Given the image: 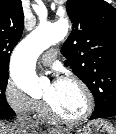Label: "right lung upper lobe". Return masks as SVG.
<instances>
[{
    "label": "right lung upper lobe",
    "instance_id": "1",
    "mask_svg": "<svg viewBox=\"0 0 116 134\" xmlns=\"http://www.w3.org/2000/svg\"><path fill=\"white\" fill-rule=\"evenodd\" d=\"M21 0H0V73L8 72L10 55L23 33Z\"/></svg>",
    "mask_w": 116,
    "mask_h": 134
}]
</instances>
